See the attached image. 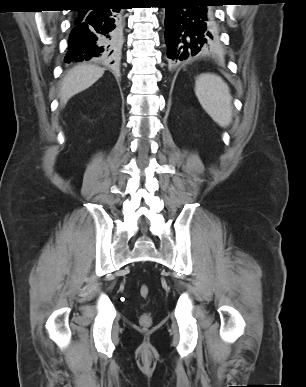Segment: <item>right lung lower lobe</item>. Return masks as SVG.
Segmentation results:
<instances>
[{
  "label": "right lung lower lobe",
  "instance_id": "obj_1",
  "mask_svg": "<svg viewBox=\"0 0 306 387\" xmlns=\"http://www.w3.org/2000/svg\"><path fill=\"white\" fill-rule=\"evenodd\" d=\"M86 7L74 14L65 62L113 63L120 49L121 4L102 0L88 3Z\"/></svg>",
  "mask_w": 306,
  "mask_h": 387
}]
</instances>
